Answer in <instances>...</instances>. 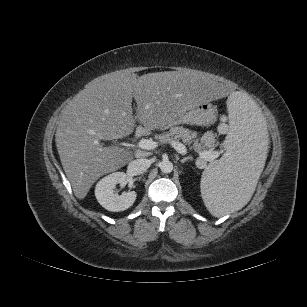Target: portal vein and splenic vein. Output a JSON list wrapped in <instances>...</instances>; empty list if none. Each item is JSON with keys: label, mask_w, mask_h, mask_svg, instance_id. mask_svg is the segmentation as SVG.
Instances as JSON below:
<instances>
[{"label": "portal vein and splenic vein", "mask_w": 307, "mask_h": 307, "mask_svg": "<svg viewBox=\"0 0 307 307\" xmlns=\"http://www.w3.org/2000/svg\"><path fill=\"white\" fill-rule=\"evenodd\" d=\"M170 144L178 153L183 154V155L187 153L186 146L182 144L181 142L171 141ZM137 146L144 150H152L158 146V142L152 139H141L138 142ZM218 155H219L218 152L203 151L199 154V157L207 161H213L218 157Z\"/></svg>", "instance_id": "obj_1"}]
</instances>
